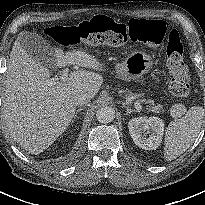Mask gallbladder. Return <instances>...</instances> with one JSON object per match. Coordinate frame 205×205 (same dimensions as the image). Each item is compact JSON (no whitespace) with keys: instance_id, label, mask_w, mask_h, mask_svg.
I'll return each instance as SVG.
<instances>
[{"instance_id":"bac80fb5","label":"gallbladder","mask_w":205,"mask_h":205,"mask_svg":"<svg viewBox=\"0 0 205 205\" xmlns=\"http://www.w3.org/2000/svg\"><path fill=\"white\" fill-rule=\"evenodd\" d=\"M20 38L22 46L34 60L47 68L55 64L54 50L43 37L35 32L25 31Z\"/></svg>"}]
</instances>
